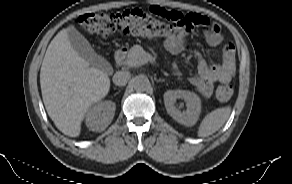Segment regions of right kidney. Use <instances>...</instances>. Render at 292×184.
<instances>
[{"mask_svg":"<svg viewBox=\"0 0 292 184\" xmlns=\"http://www.w3.org/2000/svg\"><path fill=\"white\" fill-rule=\"evenodd\" d=\"M116 104L112 101L98 102L91 106L85 116L86 126L91 131L105 130L115 114Z\"/></svg>","mask_w":292,"mask_h":184,"instance_id":"ca27d5eb","label":"right kidney"}]
</instances>
